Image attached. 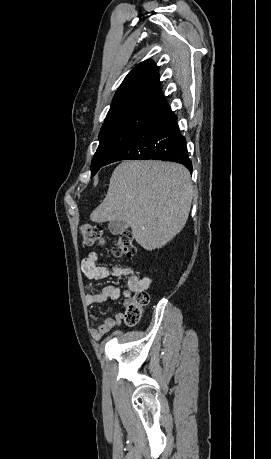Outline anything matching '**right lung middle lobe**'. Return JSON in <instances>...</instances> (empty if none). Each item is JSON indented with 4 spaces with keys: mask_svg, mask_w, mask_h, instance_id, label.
<instances>
[{
    "mask_svg": "<svg viewBox=\"0 0 271 459\" xmlns=\"http://www.w3.org/2000/svg\"><path fill=\"white\" fill-rule=\"evenodd\" d=\"M158 114L145 110H132L107 115L99 133V146L92 159L91 177L106 164L110 156L135 132Z\"/></svg>",
    "mask_w": 271,
    "mask_h": 459,
    "instance_id": "dd1d6c3e",
    "label": "right lung middle lobe"
}]
</instances>
